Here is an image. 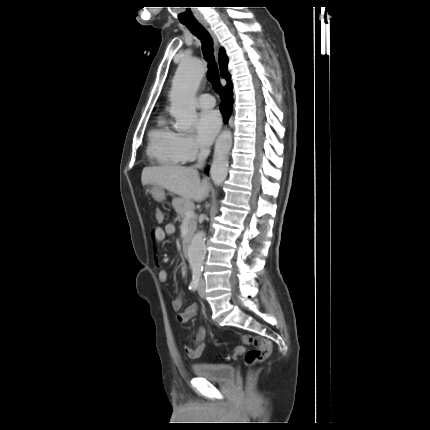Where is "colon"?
Wrapping results in <instances>:
<instances>
[{"instance_id":"colon-1","label":"colon","mask_w":430,"mask_h":430,"mask_svg":"<svg viewBox=\"0 0 430 430\" xmlns=\"http://www.w3.org/2000/svg\"><path fill=\"white\" fill-rule=\"evenodd\" d=\"M154 216L157 222L163 221L164 215L161 209L156 208L154 210ZM242 341L244 344L251 345L253 348L245 352L243 347L237 346L234 348L232 356L236 357L244 354L245 362L249 366L263 362L271 353V342L266 338L244 335ZM227 358H230V355L227 356Z\"/></svg>"}]
</instances>
